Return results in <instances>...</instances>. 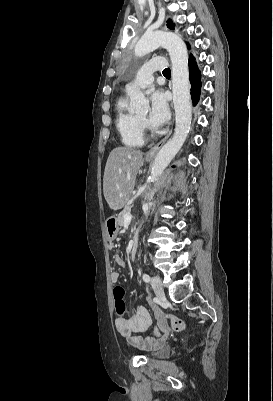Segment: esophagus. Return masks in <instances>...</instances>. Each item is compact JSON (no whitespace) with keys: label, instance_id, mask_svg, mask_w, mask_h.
Masks as SVG:
<instances>
[{"label":"esophagus","instance_id":"esophagus-1","mask_svg":"<svg viewBox=\"0 0 273 401\" xmlns=\"http://www.w3.org/2000/svg\"><path fill=\"white\" fill-rule=\"evenodd\" d=\"M172 133V128L171 130L167 133V135L161 140L159 141L155 146H153L147 153L145 158L146 159H153L156 154L158 153V151L160 150V148L164 145V143L166 142V140L169 138V136Z\"/></svg>","mask_w":273,"mask_h":401}]
</instances>
